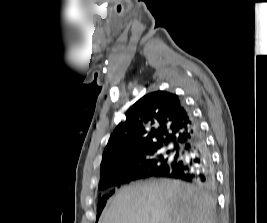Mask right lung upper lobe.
Here are the masks:
<instances>
[{
  "instance_id": "obj_1",
  "label": "right lung upper lobe",
  "mask_w": 267,
  "mask_h": 223,
  "mask_svg": "<svg viewBox=\"0 0 267 223\" xmlns=\"http://www.w3.org/2000/svg\"><path fill=\"white\" fill-rule=\"evenodd\" d=\"M195 135L197 124L178 95L149 93L129 108L126 120L113 131L103 153L101 179L132 175L141 158L168 145L179 151Z\"/></svg>"
}]
</instances>
